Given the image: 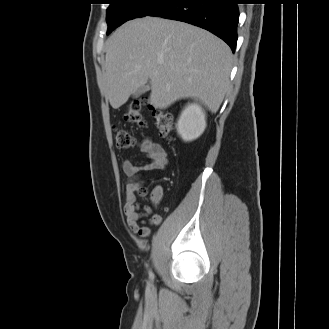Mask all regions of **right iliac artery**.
Masks as SVG:
<instances>
[{"label": "right iliac artery", "instance_id": "right-iliac-artery-1", "mask_svg": "<svg viewBox=\"0 0 329 329\" xmlns=\"http://www.w3.org/2000/svg\"><path fill=\"white\" fill-rule=\"evenodd\" d=\"M149 277L153 278V273L151 271H149Z\"/></svg>", "mask_w": 329, "mask_h": 329}]
</instances>
